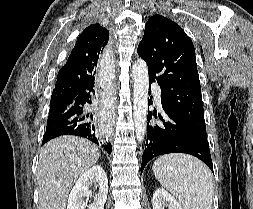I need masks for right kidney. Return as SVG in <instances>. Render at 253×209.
Masks as SVG:
<instances>
[{
	"mask_svg": "<svg viewBox=\"0 0 253 209\" xmlns=\"http://www.w3.org/2000/svg\"><path fill=\"white\" fill-rule=\"evenodd\" d=\"M92 185L98 188V193L94 197V203L88 206L85 198L91 196L90 187ZM107 194V175L101 166H93L77 180L69 195L67 209H86V207L88 209H104Z\"/></svg>",
	"mask_w": 253,
	"mask_h": 209,
	"instance_id": "right-kidney-1",
	"label": "right kidney"
}]
</instances>
